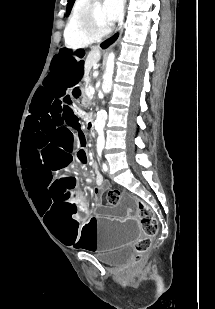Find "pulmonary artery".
Returning <instances> with one entry per match:
<instances>
[{
	"label": "pulmonary artery",
	"mask_w": 215,
	"mask_h": 309,
	"mask_svg": "<svg viewBox=\"0 0 215 309\" xmlns=\"http://www.w3.org/2000/svg\"><path fill=\"white\" fill-rule=\"evenodd\" d=\"M75 6L76 8H85L86 3L85 1H76Z\"/></svg>",
	"instance_id": "pulmonary-artery-1"
}]
</instances>
